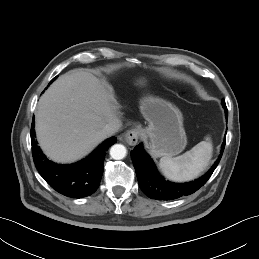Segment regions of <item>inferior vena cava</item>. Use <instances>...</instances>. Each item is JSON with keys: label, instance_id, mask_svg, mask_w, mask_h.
Wrapping results in <instances>:
<instances>
[{"label": "inferior vena cava", "instance_id": "602c4592", "mask_svg": "<svg viewBox=\"0 0 259 259\" xmlns=\"http://www.w3.org/2000/svg\"><path fill=\"white\" fill-rule=\"evenodd\" d=\"M118 129H119V124L112 122L105 125V127L103 128V132L106 135L110 136L115 134L118 131Z\"/></svg>", "mask_w": 259, "mask_h": 259}]
</instances>
